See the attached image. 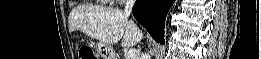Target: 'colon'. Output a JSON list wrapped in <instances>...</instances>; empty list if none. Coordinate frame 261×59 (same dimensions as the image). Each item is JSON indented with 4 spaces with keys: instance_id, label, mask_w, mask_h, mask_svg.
Here are the masks:
<instances>
[{
    "instance_id": "obj_1",
    "label": "colon",
    "mask_w": 261,
    "mask_h": 59,
    "mask_svg": "<svg viewBox=\"0 0 261 59\" xmlns=\"http://www.w3.org/2000/svg\"><path fill=\"white\" fill-rule=\"evenodd\" d=\"M79 57L81 59H96L94 52L89 48H83L80 51Z\"/></svg>"
}]
</instances>
